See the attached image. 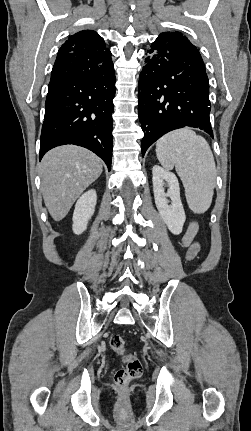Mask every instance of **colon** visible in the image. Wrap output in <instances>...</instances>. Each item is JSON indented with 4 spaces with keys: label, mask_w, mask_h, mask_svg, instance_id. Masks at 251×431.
<instances>
[{
    "label": "colon",
    "mask_w": 251,
    "mask_h": 431,
    "mask_svg": "<svg viewBox=\"0 0 251 431\" xmlns=\"http://www.w3.org/2000/svg\"><path fill=\"white\" fill-rule=\"evenodd\" d=\"M111 349L119 355L125 352V341L120 335H113L110 338ZM124 366L118 369L114 375L115 384L125 390L131 381L139 378L143 373V365L140 359L132 354L123 356Z\"/></svg>",
    "instance_id": "obj_1"
}]
</instances>
